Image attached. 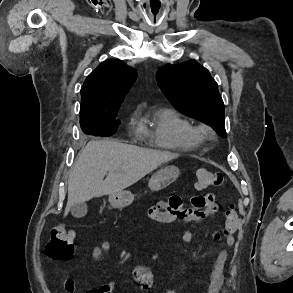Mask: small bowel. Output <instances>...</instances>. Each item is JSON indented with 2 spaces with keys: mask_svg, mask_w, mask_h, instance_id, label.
<instances>
[{
  "mask_svg": "<svg viewBox=\"0 0 293 293\" xmlns=\"http://www.w3.org/2000/svg\"><path fill=\"white\" fill-rule=\"evenodd\" d=\"M192 204L193 208L186 209L183 207L182 199L174 195L167 200H161L151 206L148 210V216L151 220L160 224H169L177 221L190 223L191 226L182 235L183 242L189 244L193 239L195 227L206 218L213 216L217 211L216 197L213 193L194 196ZM212 236L216 240L222 238L228 248L233 247L235 244L233 234L213 231ZM111 249V243L109 241H103L92 249L91 255L94 259L101 260L110 253ZM226 260V250L220 251L212 267L210 280L204 293L219 292L224 280L223 272ZM133 279L143 290H149L153 285L154 275L147 266L137 265L133 270ZM64 288L66 293H75L77 291V286L71 279L65 281ZM115 289L116 282L111 280L96 289L88 290L86 293H114ZM165 293H179V291L169 289Z\"/></svg>",
  "mask_w": 293,
  "mask_h": 293,
  "instance_id": "small-bowel-1",
  "label": "small bowel"
}]
</instances>
